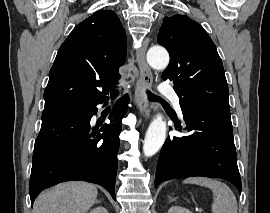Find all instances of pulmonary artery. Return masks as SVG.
Instances as JSON below:
<instances>
[{
	"label": "pulmonary artery",
	"instance_id": "1",
	"mask_svg": "<svg viewBox=\"0 0 270 213\" xmlns=\"http://www.w3.org/2000/svg\"><path fill=\"white\" fill-rule=\"evenodd\" d=\"M159 91L161 94L171 98L177 112L181 115L182 112H181V107H180V98L174 92V90L171 88V86L166 84V83H162L159 87Z\"/></svg>",
	"mask_w": 270,
	"mask_h": 213
}]
</instances>
